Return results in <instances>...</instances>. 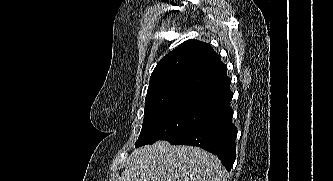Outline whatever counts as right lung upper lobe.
<instances>
[{"label": "right lung upper lobe", "instance_id": "1", "mask_svg": "<svg viewBox=\"0 0 333 181\" xmlns=\"http://www.w3.org/2000/svg\"><path fill=\"white\" fill-rule=\"evenodd\" d=\"M227 67L212 47L188 40L155 67L145 98V110L172 105L209 109L233 97Z\"/></svg>", "mask_w": 333, "mask_h": 181}]
</instances>
